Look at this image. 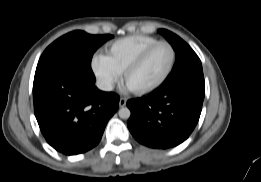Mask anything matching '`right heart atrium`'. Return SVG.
Instances as JSON below:
<instances>
[{
	"label": "right heart atrium",
	"mask_w": 261,
	"mask_h": 182,
	"mask_svg": "<svg viewBox=\"0 0 261 182\" xmlns=\"http://www.w3.org/2000/svg\"><path fill=\"white\" fill-rule=\"evenodd\" d=\"M91 68L99 87L105 91H110L119 81L120 73L113 67L108 57L102 53L93 55Z\"/></svg>",
	"instance_id": "1"
}]
</instances>
